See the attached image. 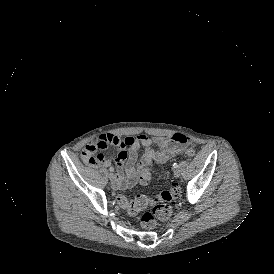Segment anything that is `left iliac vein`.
<instances>
[{"label":"left iliac vein","mask_w":274,"mask_h":274,"mask_svg":"<svg viewBox=\"0 0 274 274\" xmlns=\"http://www.w3.org/2000/svg\"><path fill=\"white\" fill-rule=\"evenodd\" d=\"M173 174L177 178L180 176V171L178 169H176V170H174Z\"/></svg>","instance_id":"1"}]
</instances>
